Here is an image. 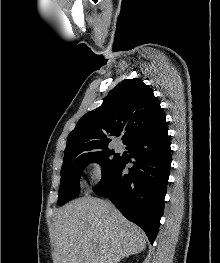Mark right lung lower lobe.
Here are the masks:
<instances>
[{"mask_svg": "<svg viewBox=\"0 0 220 263\" xmlns=\"http://www.w3.org/2000/svg\"><path fill=\"white\" fill-rule=\"evenodd\" d=\"M166 132L157 136L141 135L127 145L134 166L125 171L120 160L102 177L94 192L107 197L130 221L140 226L153 244L164 210L171 150Z\"/></svg>", "mask_w": 220, "mask_h": 263, "instance_id": "obj_1", "label": "right lung lower lobe"}]
</instances>
